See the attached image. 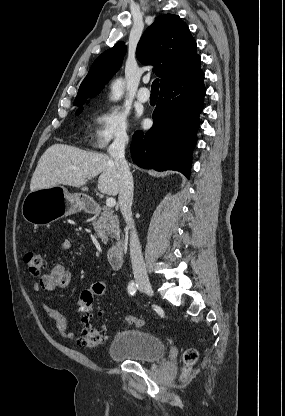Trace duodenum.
<instances>
[{
    "instance_id": "obj_1",
    "label": "duodenum",
    "mask_w": 285,
    "mask_h": 416,
    "mask_svg": "<svg viewBox=\"0 0 285 416\" xmlns=\"http://www.w3.org/2000/svg\"><path fill=\"white\" fill-rule=\"evenodd\" d=\"M78 200L81 202V205L90 212L97 213L99 207L97 206L98 200L96 197H89L88 193H79ZM125 240L119 239L115 241L107 251V258L109 266L112 270H119L123 265V258L125 253Z\"/></svg>"
}]
</instances>
